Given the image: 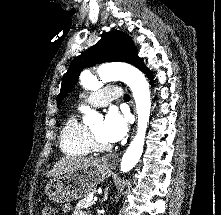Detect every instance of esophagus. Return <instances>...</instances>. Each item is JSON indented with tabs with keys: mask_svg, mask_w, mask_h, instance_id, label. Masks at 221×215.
<instances>
[{
	"mask_svg": "<svg viewBox=\"0 0 221 215\" xmlns=\"http://www.w3.org/2000/svg\"><path fill=\"white\" fill-rule=\"evenodd\" d=\"M126 90H127V92L130 94V96H131V103H132L133 106H134V99H133V96H132V92H131V90H130L129 88H127ZM133 133H134V128H133L132 134H133ZM102 161H103V163H104L106 166L113 168V167H116V166L118 165L119 158H118V156H116V155L109 154V155L104 156V157L102 158Z\"/></svg>",
	"mask_w": 221,
	"mask_h": 215,
	"instance_id": "esophagus-1",
	"label": "esophagus"
}]
</instances>
